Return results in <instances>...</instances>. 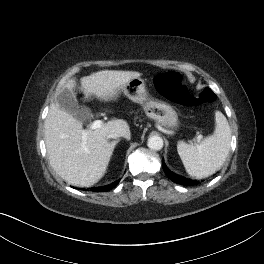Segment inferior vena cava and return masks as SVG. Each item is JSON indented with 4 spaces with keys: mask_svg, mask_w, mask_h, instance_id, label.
I'll use <instances>...</instances> for the list:
<instances>
[{
    "mask_svg": "<svg viewBox=\"0 0 264 264\" xmlns=\"http://www.w3.org/2000/svg\"><path fill=\"white\" fill-rule=\"evenodd\" d=\"M121 136L125 137V134L122 132H110L109 134H107V139L118 138Z\"/></svg>",
    "mask_w": 264,
    "mask_h": 264,
    "instance_id": "obj_1",
    "label": "inferior vena cava"
}]
</instances>
